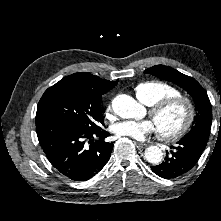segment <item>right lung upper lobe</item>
<instances>
[{"label": "right lung upper lobe", "instance_id": "obj_1", "mask_svg": "<svg viewBox=\"0 0 221 221\" xmlns=\"http://www.w3.org/2000/svg\"><path fill=\"white\" fill-rule=\"evenodd\" d=\"M117 81H109L101 79L87 72L74 73L66 76L57 82L54 86L65 85L75 86L82 89H87L99 93L101 95L107 93L109 90L115 87Z\"/></svg>", "mask_w": 221, "mask_h": 221}]
</instances>
